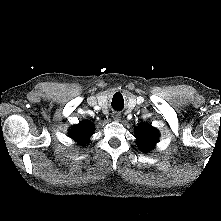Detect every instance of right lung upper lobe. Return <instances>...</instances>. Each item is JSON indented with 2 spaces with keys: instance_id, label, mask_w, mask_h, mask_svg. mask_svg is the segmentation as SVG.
I'll return each mask as SVG.
<instances>
[{
  "instance_id": "right-lung-upper-lobe-1",
  "label": "right lung upper lobe",
  "mask_w": 221,
  "mask_h": 221,
  "mask_svg": "<svg viewBox=\"0 0 221 221\" xmlns=\"http://www.w3.org/2000/svg\"><path fill=\"white\" fill-rule=\"evenodd\" d=\"M94 131V125L90 122H83L71 128L69 134L79 144H86Z\"/></svg>"
}]
</instances>
